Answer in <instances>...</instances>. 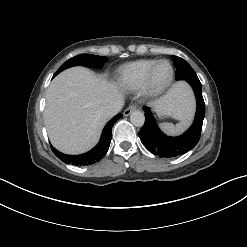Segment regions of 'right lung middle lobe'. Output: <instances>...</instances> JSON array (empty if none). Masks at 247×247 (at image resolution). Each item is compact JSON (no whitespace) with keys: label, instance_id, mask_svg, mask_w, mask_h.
I'll return each instance as SVG.
<instances>
[{"label":"right lung middle lobe","instance_id":"dd1d6c3e","mask_svg":"<svg viewBox=\"0 0 247 247\" xmlns=\"http://www.w3.org/2000/svg\"><path fill=\"white\" fill-rule=\"evenodd\" d=\"M108 58L105 56H97V55H91V54H80L73 58H70L67 60L54 74L56 76L61 71L73 67V66H88L93 68H102L104 63L107 62Z\"/></svg>","mask_w":247,"mask_h":247}]
</instances>
